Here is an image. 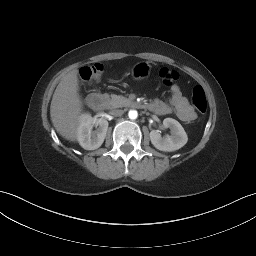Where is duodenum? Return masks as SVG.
<instances>
[{
    "label": "duodenum",
    "mask_w": 256,
    "mask_h": 256,
    "mask_svg": "<svg viewBox=\"0 0 256 256\" xmlns=\"http://www.w3.org/2000/svg\"><path fill=\"white\" fill-rule=\"evenodd\" d=\"M87 102L89 106L95 110L99 111L102 110L106 105V98L98 93H91L88 96ZM133 105L137 108H149V106L143 102H137L135 101Z\"/></svg>",
    "instance_id": "duodenum-1"
}]
</instances>
